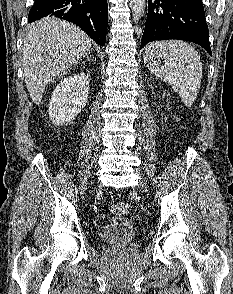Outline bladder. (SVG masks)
<instances>
[{"mask_svg":"<svg viewBox=\"0 0 233 294\" xmlns=\"http://www.w3.org/2000/svg\"><path fill=\"white\" fill-rule=\"evenodd\" d=\"M135 235L133 224L126 218H110L101 229V238L112 246H125Z\"/></svg>","mask_w":233,"mask_h":294,"instance_id":"1","label":"bladder"}]
</instances>
